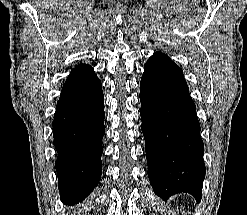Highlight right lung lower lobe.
I'll use <instances>...</instances> for the list:
<instances>
[{
	"label": "right lung lower lobe",
	"instance_id": "98d812e1",
	"mask_svg": "<svg viewBox=\"0 0 247 215\" xmlns=\"http://www.w3.org/2000/svg\"><path fill=\"white\" fill-rule=\"evenodd\" d=\"M102 85L93 68L80 64L63 85L53 120L55 167L64 204L85 199L101 177L104 136Z\"/></svg>",
	"mask_w": 247,
	"mask_h": 215
}]
</instances>
